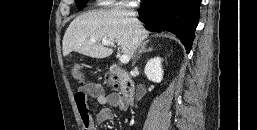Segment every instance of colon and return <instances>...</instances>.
Returning <instances> with one entry per match:
<instances>
[{
  "label": "colon",
  "instance_id": "obj_1",
  "mask_svg": "<svg viewBox=\"0 0 257 130\" xmlns=\"http://www.w3.org/2000/svg\"><path fill=\"white\" fill-rule=\"evenodd\" d=\"M71 78L76 82L83 83L85 81V73L82 67L79 64H75L72 66L70 71ZM108 84L114 89L120 88V78L118 75L110 73L106 76Z\"/></svg>",
  "mask_w": 257,
  "mask_h": 130
}]
</instances>
